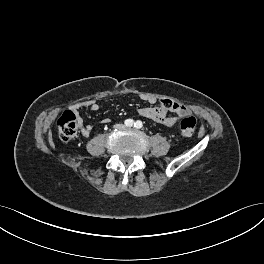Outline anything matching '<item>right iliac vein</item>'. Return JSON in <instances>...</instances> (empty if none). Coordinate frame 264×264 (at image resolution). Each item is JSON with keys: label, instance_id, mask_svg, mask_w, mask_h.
Here are the masks:
<instances>
[{"label": "right iliac vein", "instance_id": "63e3f726", "mask_svg": "<svg viewBox=\"0 0 264 264\" xmlns=\"http://www.w3.org/2000/svg\"><path fill=\"white\" fill-rule=\"evenodd\" d=\"M115 127H116L117 129H121V128H122V125L117 124Z\"/></svg>", "mask_w": 264, "mask_h": 264}]
</instances>
